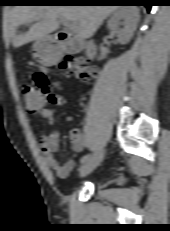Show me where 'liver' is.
I'll list each match as a JSON object with an SVG mask.
<instances>
[{
    "instance_id": "6515ba94",
    "label": "liver",
    "mask_w": 170,
    "mask_h": 231,
    "mask_svg": "<svg viewBox=\"0 0 170 231\" xmlns=\"http://www.w3.org/2000/svg\"><path fill=\"white\" fill-rule=\"evenodd\" d=\"M118 9L114 5L14 6L8 13L6 36L18 48L58 30V19L62 18L71 22L78 37L84 40L92 37L102 22ZM22 25H29V30L17 34Z\"/></svg>"
}]
</instances>
